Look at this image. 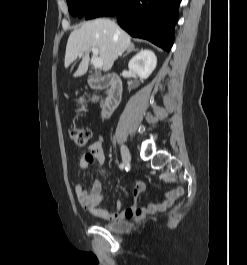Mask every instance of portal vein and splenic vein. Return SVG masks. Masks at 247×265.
<instances>
[{
	"mask_svg": "<svg viewBox=\"0 0 247 265\" xmlns=\"http://www.w3.org/2000/svg\"><path fill=\"white\" fill-rule=\"evenodd\" d=\"M90 50L93 53V66L95 68H102L103 60L100 57H98V53H99L98 48L92 47ZM81 55L82 54H80L79 56H81Z\"/></svg>",
	"mask_w": 247,
	"mask_h": 265,
	"instance_id": "obj_1",
	"label": "portal vein and splenic vein"
}]
</instances>
